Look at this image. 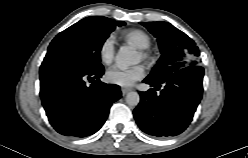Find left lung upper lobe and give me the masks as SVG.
Returning a JSON list of instances; mask_svg holds the SVG:
<instances>
[{
	"instance_id": "5c2ea615",
	"label": "left lung upper lobe",
	"mask_w": 248,
	"mask_h": 158,
	"mask_svg": "<svg viewBox=\"0 0 248 158\" xmlns=\"http://www.w3.org/2000/svg\"><path fill=\"white\" fill-rule=\"evenodd\" d=\"M158 40L161 58L148 76L164 81L186 66L198 65L199 49L185 33L167 22H142Z\"/></svg>"
}]
</instances>
